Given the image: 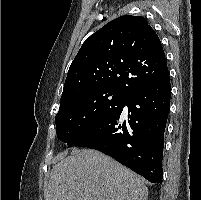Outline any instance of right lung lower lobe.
Segmentation results:
<instances>
[{"instance_id": "98d812e1", "label": "right lung lower lobe", "mask_w": 201, "mask_h": 200, "mask_svg": "<svg viewBox=\"0 0 201 200\" xmlns=\"http://www.w3.org/2000/svg\"><path fill=\"white\" fill-rule=\"evenodd\" d=\"M171 97L169 72L159 80L127 96L121 107L87 130L68 147L99 150L142 175L152 183H162L164 132ZM128 106V121L122 120Z\"/></svg>"}]
</instances>
